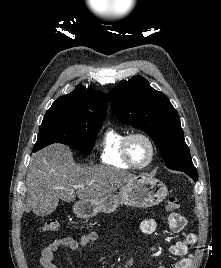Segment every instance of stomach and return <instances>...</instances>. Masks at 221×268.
<instances>
[{"mask_svg":"<svg viewBox=\"0 0 221 268\" xmlns=\"http://www.w3.org/2000/svg\"><path fill=\"white\" fill-rule=\"evenodd\" d=\"M168 195V189L158 179L145 176H135L121 186L118 195L108 194L103 198L81 200L77 202L73 211L79 218L89 219L99 212L112 213L119 205L138 208H148L161 203Z\"/></svg>","mask_w":221,"mask_h":268,"instance_id":"0dacf381","label":"stomach"}]
</instances>
